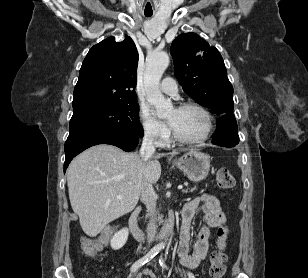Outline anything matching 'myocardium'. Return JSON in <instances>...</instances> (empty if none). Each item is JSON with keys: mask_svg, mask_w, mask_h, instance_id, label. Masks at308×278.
<instances>
[{"mask_svg": "<svg viewBox=\"0 0 308 278\" xmlns=\"http://www.w3.org/2000/svg\"><path fill=\"white\" fill-rule=\"evenodd\" d=\"M178 109H196V110L200 111L206 119L207 126H206V130H205L204 134L202 136L198 137V138L183 137V136L179 135L172 128L173 138L176 141H178L182 144H198V143H202V142L206 141L210 137V135L213 131V127H214V120H213V116H212L211 112L207 108H205L203 105L195 103V102L183 103L179 106Z\"/></svg>", "mask_w": 308, "mask_h": 278, "instance_id": "f54148a6", "label": "myocardium"}]
</instances>
